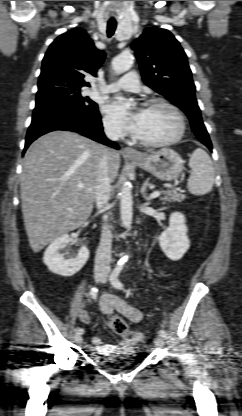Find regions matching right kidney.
<instances>
[{"label":"right kidney","instance_id":"ca27d5eb","mask_svg":"<svg viewBox=\"0 0 242 416\" xmlns=\"http://www.w3.org/2000/svg\"><path fill=\"white\" fill-rule=\"evenodd\" d=\"M69 242L68 234L59 236L48 246L43 257L44 263L51 272L65 277L77 273L89 258V250L86 245H83L75 257L65 259L64 254L59 251Z\"/></svg>","mask_w":242,"mask_h":416}]
</instances>
